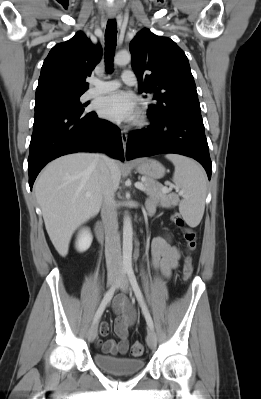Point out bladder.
I'll use <instances>...</instances> for the list:
<instances>
[{
  "instance_id": "1",
  "label": "bladder",
  "mask_w": 261,
  "mask_h": 399,
  "mask_svg": "<svg viewBox=\"0 0 261 399\" xmlns=\"http://www.w3.org/2000/svg\"><path fill=\"white\" fill-rule=\"evenodd\" d=\"M94 363L102 370L117 375H133L144 367V361L137 358L114 357L95 353Z\"/></svg>"
}]
</instances>
